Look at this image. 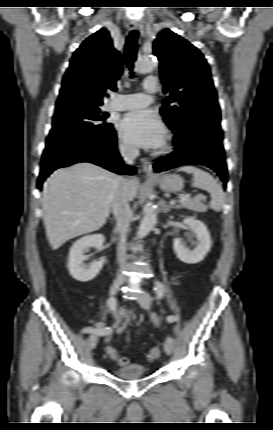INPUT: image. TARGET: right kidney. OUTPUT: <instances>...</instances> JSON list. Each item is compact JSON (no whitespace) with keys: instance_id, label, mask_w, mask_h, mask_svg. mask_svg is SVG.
<instances>
[{"instance_id":"right-kidney-1","label":"right kidney","mask_w":273,"mask_h":430,"mask_svg":"<svg viewBox=\"0 0 273 430\" xmlns=\"http://www.w3.org/2000/svg\"><path fill=\"white\" fill-rule=\"evenodd\" d=\"M104 236L102 234H93L80 238L77 240L69 252V261L67 264L70 275L77 281L88 282L93 280L101 271L105 259L94 261L90 265L83 263L85 259L84 253L89 248H100L104 242Z\"/></svg>"}]
</instances>
